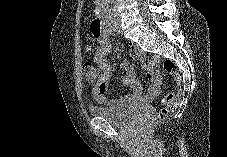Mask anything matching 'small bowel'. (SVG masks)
<instances>
[{"label": "small bowel", "instance_id": "c3829d8e", "mask_svg": "<svg viewBox=\"0 0 227 157\" xmlns=\"http://www.w3.org/2000/svg\"><path fill=\"white\" fill-rule=\"evenodd\" d=\"M94 25V22H93ZM134 49L138 51V48L133 46ZM87 53L93 54L94 62L100 74L98 75L96 83L92 87V95L96 102L99 104H108L111 107L119 108L133 103L148 101L153 99L160 91L161 78L157 70V59L153 58L151 61L147 62L143 54L138 51L141 63L148 70V77L151 80V86L147 94L142 92V84L139 80L135 79L131 74V66L128 62L123 63V67L129 72L122 78V82L132 88L133 92L131 94H125L119 98H108L106 96V91L108 88L109 81L114 74V67L108 61L107 56L111 52V43L109 38L105 33L97 36V43L95 46H87L85 48Z\"/></svg>", "mask_w": 227, "mask_h": 157}]
</instances>
